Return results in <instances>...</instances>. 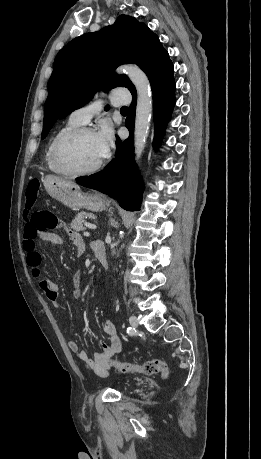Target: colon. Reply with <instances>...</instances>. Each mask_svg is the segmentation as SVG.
Wrapping results in <instances>:
<instances>
[{"mask_svg":"<svg viewBox=\"0 0 261 459\" xmlns=\"http://www.w3.org/2000/svg\"><path fill=\"white\" fill-rule=\"evenodd\" d=\"M39 192L40 182L37 179L31 180L26 188L25 212L28 213L34 207ZM23 224V235L27 238H34L38 231L64 228L65 226L63 220L50 211L34 212L30 218L23 221ZM110 364L123 373L160 374L162 377H167L169 373L167 364L159 359H152L141 365L112 359L110 360Z\"/></svg>","mask_w":261,"mask_h":459,"instance_id":"5ec220e1","label":"colon"}]
</instances>
